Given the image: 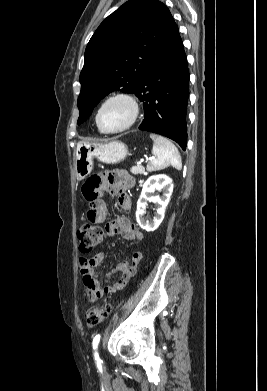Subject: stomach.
Segmentation results:
<instances>
[{
  "mask_svg": "<svg viewBox=\"0 0 267 391\" xmlns=\"http://www.w3.org/2000/svg\"><path fill=\"white\" fill-rule=\"evenodd\" d=\"M129 155L125 143L112 140L109 142L80 141L77 143L74 158L78 180L87 177L93 170L94 158L105 164H117Z\"/></svg>",
  "mask_w": 267,
  "mask_h": 391,
  "instance_id": "0dacf381",
  "label": "stomach"
}]
</instances>
